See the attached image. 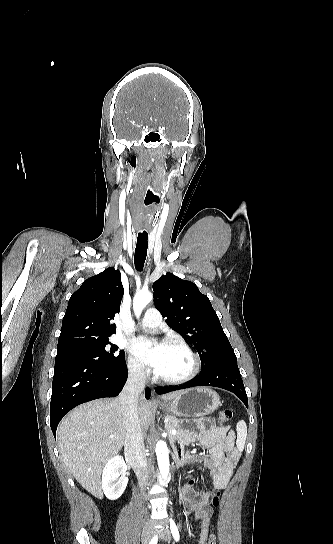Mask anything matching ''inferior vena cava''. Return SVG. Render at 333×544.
Masks as SVG:
<instances>
[{
  "instance_id": "inferior-vena-cava-1",
  "label": "inferior vena cava",
  "mask_w": 333,
  "mask_h": 544,
  "mask_svg": "<svg viewBox=\"0 0 333 544\" xmlns=\"http://www.w3.org/2000/svg\"><path fill=\"white\" fill-rule=\"evenodd\" d=\"M145 384L144 370L140 366H135L129 370L127 382L119 396L127 430L124 451L137 476L141 490H144L148 483L147 460L138 414L139 396L144 391Z\"/></svg>"
}]
</instances>
